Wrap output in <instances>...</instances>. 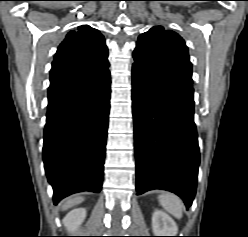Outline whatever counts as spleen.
I'll return each mask as SVG.
<instances>
[{"label":"spleen","instance_id":"3e777b00","mask_svg":"<svg viewBox=\"0 0 248 237\" xmlns=\"http://www.w3.org/2000/svg\"><path fill=\"white\" fill-rule=\"evenodd\" d=\"M158 199L160 204L167 212L178 219L182 217L184 206L182 201L177 196H175L174 194L165 193L159 195Z\"/></svg>","mask_w":248,"mask_h":237}]
</instances>
